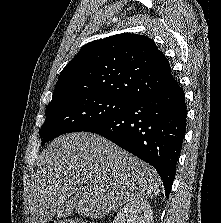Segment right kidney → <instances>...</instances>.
<instances>
[{
  "mask_svg": "<svg viewBox=\"0 0 221 223\" xmlns=\"http://www.w3.org/2000/svg\"><path fill=\"white\" fill-rule=\"evenodd\" d=\"M153 211L148 201L139 199L126 204L113 223H152Z\"/></svg>",
  "mask_w": 221,
  "mask_h": 223,
  "instance_id": "1",
  "label": "right kidney"
}]
</instances>
